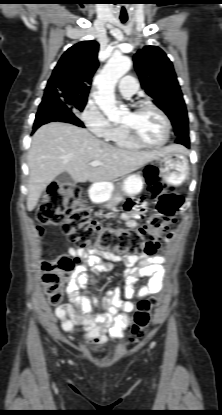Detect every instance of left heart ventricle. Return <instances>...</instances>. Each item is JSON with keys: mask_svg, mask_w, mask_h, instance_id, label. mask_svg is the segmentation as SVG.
<instances>
[{"mask_svg": "<svg viewBox=\"0 0 222 415\" xmlns=\"http://www.w3.org/2000/svg\"><path fill=\"white\" fill-rule=\"evenodd\" d=\"M122 124L132 125L139 136L146 142L159 143L166 133V126L162 117L153 109L145 108L137 113L128 111Z\"/></svg>", "mask_w": 222, "mask_h": 415, "instance_id": "b2bd125f", "label": "left heart ventricle"}]
</instances>
